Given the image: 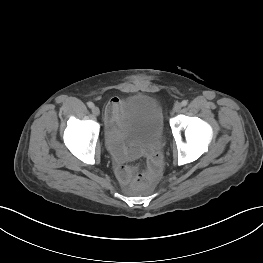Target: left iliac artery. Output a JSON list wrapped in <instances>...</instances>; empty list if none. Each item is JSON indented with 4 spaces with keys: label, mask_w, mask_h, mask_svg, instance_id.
I'll return each mask as SVG.
<instances>
[{
    "label": "left iliac artery",
    "mask_w": 263,
    "mask_h": 263,
    "mask_svg": "<svg viewBox=\"0 0 263 263\" xmlns=\"http://www.w3.org/2000/svg\"><path fill=\"white\" fill-rule=\"evenodd\" d=\"M188 104V101L187 100H183L182 102H181V105L182 106H186Z\"/></svg>",
    "instance_id": "left-iliac-artery-1"
}]
</instances>
